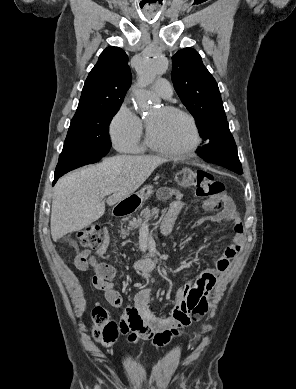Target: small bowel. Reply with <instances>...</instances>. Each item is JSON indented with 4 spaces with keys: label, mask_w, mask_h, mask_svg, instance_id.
<instances>
[{
    "label": "small bowel",
    "mask_w": 296,
    "mask_h": 389,
    "mask_svg": "<svg viewBox=\"0 0 296 389\" xmlns=\"http://www.w3.org/2000/svg\"><path fill=\"white\" fill-rule=\"evenodd\" d=\"M157 196L159 199L174 198L162 225L163 232L169 234L178 215L186 208V202L182 194L172 188L159 189ZM204 207L216 210V213L206 219H200L197 221V225L205 221L232 222V242L225 246L213 268L203 270L194 282L176 291L174 306L169 316H158L150 310L149 289L138 291L134 296V304L125 309L120 322L121 331L128 335L130 342L149 340L156 347H164L178 337L195 318L205 314L209 295L216 282L227 272L230 261L241 250L244 242L243 224L232 201L225 197L219 206L209 207L205 204ZM108 244L109 237L105 233L104 244L97 250L98 256L102 257L106 254ZM80 259H82V264L79 263ZM75 266L81 271L92 268L94 270L93 286L103 291L105 299L112 307L119 308L122 305V296L113 282L116 277L114 267L98 262L88 251L81 252L76 256Z\"/></svg>",
    "instance_id": "c3829d8e"
}]
</instances>
